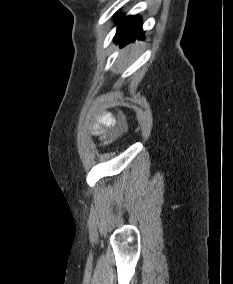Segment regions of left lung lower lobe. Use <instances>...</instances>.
Segmentation results:
<instances>
[{
	"instance_id": "obj_1",
	"label": "left lung lower lobe",
	"mask_w": 233,
	"mask_h": 284,
	"mask_svg": "<svg viewBox=\"0 0 233 284\" xmlns=\"http://www.w3.org/2000/svg\"><path fill=\"white\" fill-rule=\"evenodd\" d=\"M115 41L120 42V47L133 42L136 39L143 40L142 23L137 15L123 18L117 27Z\"/></svg>"
}]
</instances>
